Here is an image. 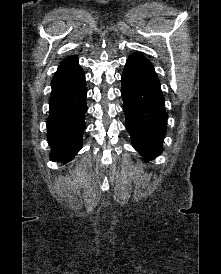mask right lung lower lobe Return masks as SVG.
Wrapping results in <instances>:
<instances>
[{"label":"right lung lower lobe","mask_w":221,"mask_h":274,"mask_svg":"<svg viewBox=\"0 0 221 274\" xmlns=\"http://www.w3.org/2000/svg\"><path fill=\"white\" fill-rule=\"evenodd\" d=\"M47 119L50 160L70 161L82 148L87 88L78 58L58 67L52 82Z\"/></svg>","instance_id":"98d812e1"}]
</instances>
